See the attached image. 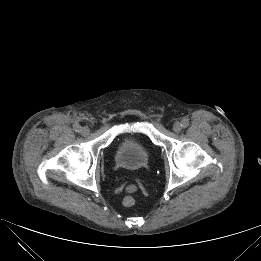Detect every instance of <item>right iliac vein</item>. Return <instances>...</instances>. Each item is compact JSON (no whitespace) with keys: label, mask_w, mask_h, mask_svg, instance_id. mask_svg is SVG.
Masks as SVG:
<instances>
[{"label":"right iliac vein","mask_w":261,"mask_h":261,"mask_svg":"<svg viewBox=\"0 0 261 261\" xmlns=\"http://www.w3.org/2000/svg\"><path fill=\"white\" fill-rule=\"evenodd\" d=\"M82 135L86 136L89 133V128L87 126H84L81 128Z\"/></svg>","instance_id":"right-iliac-vein-1"}]
</instances>
